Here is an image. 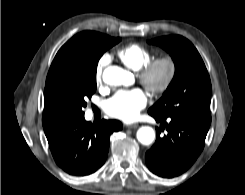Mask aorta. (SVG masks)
<instances>
[{"label":"aorta","instance_id":"obj_1","mask_svg":"<svg viewBox=\"0 0 245 195\" xmlns=\"http://www.w3.org/2000/svg\"><path fill=\"white\" fill-rule=\"evenodd\" d=\"M103 81L110 86H128L132 75L118 66H109L103 72ZM137 139L143 145H150L155 140V131L149 126H142L137 131Z\"/></svg>","mask_w":245,"mask_h":195}]
</instances>
